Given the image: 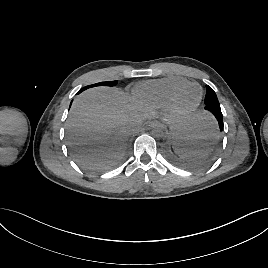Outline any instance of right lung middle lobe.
<instances>
[{
    "instance_id": "dd1d6c3e",
    "label": "right lung middle lobe",
    "mask_w": 268,
    "mask_h": 268,
    "mask_svg": "<svg viewBox=\"0 0 268 268\" xmlns=\"http://www.w3.org/2000/svg\"><path fill=\"white\" fill-rule=\"evenodd\" d=\"M116 84H117V81L101 82V83H97L91 86L84 87L82 90H85L89 87H94V86H115Z\"/></svg>"
}]
</instances>
